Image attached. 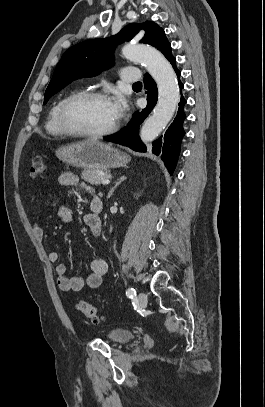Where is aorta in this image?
<instances>
[{"label": "aorta", "mask_w": 265, "mask_h": 407, "mask_svg": "<svg viewBox=\"0 0 265 407\" xmlns=\"http://www.w3.org/2000/svg\"><path fill=\"white\" fill-rule=\"evenodd\" d=\"M122 54L130 61L145 64L157 83V105L140 132L143 142L153 141L172 119L178 106L180 94L176 74L167 59L153 48L127 44L122 48Z\"/></svg>", "instance_id": "obj_1"}]
</instances>
